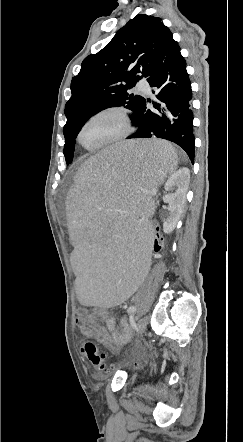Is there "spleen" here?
Listing matches in <instances>:
<instances>
[{"instance_id":"3e777b00","label":"spleen","mask_w":243,"mask_h":442,"mask_svg":"<svg viewBox=\"0 0 243 442\" xmlns=\"http://www.w3.org/2000/svg\"><path fill=\"white\" fill-rule=\"evenodd\" d=\"M177 165L174 147L158 139L100 147L80 163L66 209L75 248L74 291L83 307H121L142 291L154 253L145 214L154 201L141 192H154V184H162Z\"/></svg>"}]
</instances>
